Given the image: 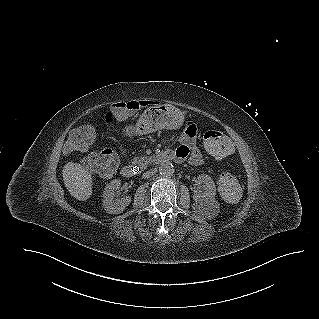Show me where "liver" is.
<instances>
[{
	"label": "liver",
	"mask_w": 319,
	"mask_h": 319,
	"mask_svg": "<svg viewBox=\"0 0 319 319\" xmlns=\"http://www.w3.org/2000/svg\"><path fill=\"white\" fill-rule=\"evenodd\" d=\"M63 181L71 196L77 200L85 201L91 197L93 177L81 164L68 162L63 167Z\"/></svg>",
	"instance_id": "liver-1"
}]
</instances>
